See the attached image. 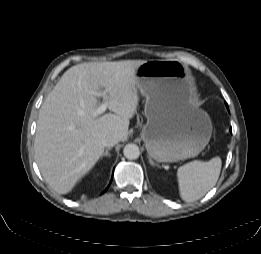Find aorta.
<instances>
[{
  "label": "aorta",
  "instance_id": "obj_1",
  "mask_svg": "<svg viewBox=\"0 0 261 254\" xmlns=\"http://www.w3.org/2000/svg\"><path fill=\"white\" fill-rule=\"evenodd\" d=\"M123 154L127 159L135 160L140 156V149L136 144H127L123 149Z\"/></svg>",
  "mask_w": 261,
  "mask_h": 254
}]
</instances>
